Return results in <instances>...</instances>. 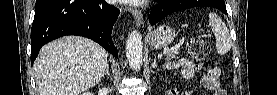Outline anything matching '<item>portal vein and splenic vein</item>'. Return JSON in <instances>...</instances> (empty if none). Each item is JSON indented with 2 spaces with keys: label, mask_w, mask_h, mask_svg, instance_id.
Here are the masks:
<instances>
[{
  "label": "portal vein and splenic vein",
  "mask_w": 277,
  "mask_h": 95,
  "mask_svg": "<svg viewBox=\"0 0 277 95\" xmlns=\"http://www.w3.org/2000/svg\"><path fill=\"white\" fill-rule=\"evenodd\" d=\"M169 51H170L169 48H165L164 51H163V53L166 54V53H168Z\"/></svg>",
  "instance_id": "18ae733b"
}]
</instances>
